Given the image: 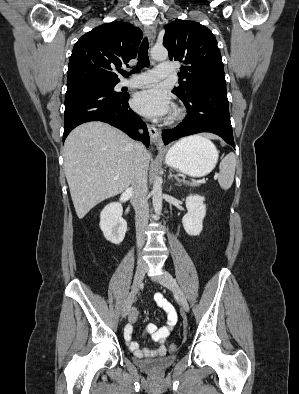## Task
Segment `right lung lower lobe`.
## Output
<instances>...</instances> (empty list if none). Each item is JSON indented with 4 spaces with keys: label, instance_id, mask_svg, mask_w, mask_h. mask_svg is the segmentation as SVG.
Segmentation results:
<instances>
[{
    "label": "right lung lower lobe",
    "instance_id": "right-lung-lower-lobe-1",
    "mask_svg": "<svg viewBox=\"0 0 299 394\" xmlns=\"http://www.w3.org/2000/svg\"><path fill=\"white\" fill-rule=\"evenodd\" d=\"M128 99L127 93H117L114 86L110 85H85L67 89L63 140L82 123L103 121L148 146L150 139L146 125L129 108ZM138 128L144 129L143 135L137 133Z\"/></svg>",
    "mask_w": 299,
    "mask_h": 394
}]
</instances>
